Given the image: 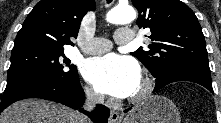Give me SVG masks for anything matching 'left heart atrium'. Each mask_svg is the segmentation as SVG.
I'll return each mask as SVG.
<instances>
[{
    "label": "left heart atrium",
    "instance_id": "1",
    "mask_svg": "<svg viewBox=\"0 0 221 123\" xmlns=\"http://www.w3.org/2000/svg\"><path fill=\"white\" fill-rule=\"evenodd\" d=\"M82 72L96 91L118 98L132 95L140 82L136 61L114 53L88 59Z\"/></svg>",
    "mask_w": 221,
    "mask_h": 123
}]
</instances>
